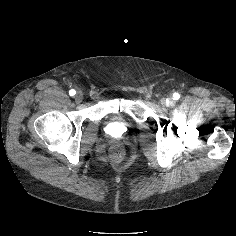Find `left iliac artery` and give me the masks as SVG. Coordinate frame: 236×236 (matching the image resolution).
<instances>
[{
    "label": "left iliac artery",
    "instance_id": "44dca946",
    "mask_svg": "<svg viewBox=\"0 0 236 236\" xmlns=\"http://www.w3.org/2000/svg\"><path fill=\"white\" fill-rule=\"evenodd\" d=\"M180 98L179 93H174L173 94V99L178 100Z\"/></svg>",
    "mask_w": 236,
    "mask_h": 236
}]
</instances>
